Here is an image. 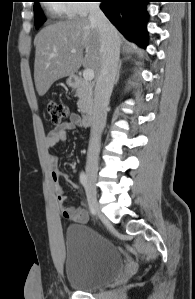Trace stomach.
<instances>
[{
    "label": "stomach",
    "instance_id": "0dacf381",
    "mask_svg": "<svg viewBox=\"0 0 195 299\" xmlns=\"http://www.w3.org/2000/svg\"><path fill=\"white\" fill-rule=\"evenodd\" d=\"M67 84L70 85V86L73 85V83H72V78H71V77L67 80Z\"/></svg>",
    "mask_w": 195,
    "mask_h": 299
}]
</instances>
